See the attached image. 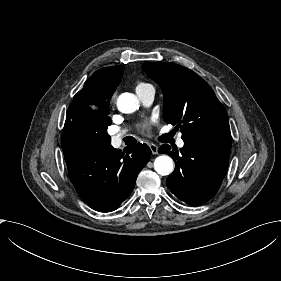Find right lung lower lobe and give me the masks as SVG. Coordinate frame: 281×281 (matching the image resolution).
I'll return each mask as SVG.
<instances>
[{"mask_svg": "<svg viewBox=\"0 0 281 281\" xmlns=\"http://www.w3.org/2000/svg\"><path fill=\"white\" fill-rule=\"evenodd\" d=\"M86 117L65 124L61 145L70 179L79 196L99 212L116 210L131 194L136 178L151 156L150 148L137 143L125 152L111 146L107 127Z\"/></svg>", "mask_w": 281, "mask_h": 281, "instance_id": "98d812e1", "label": "right lung lower lobe"}]
</instances>
